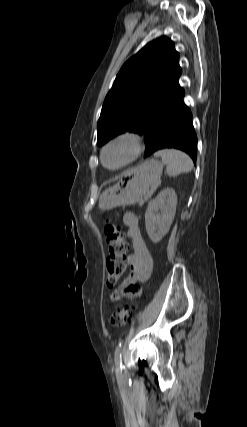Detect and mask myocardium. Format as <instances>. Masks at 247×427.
Instances as JSON below:
<instances>
[{
    "label": "myocardium",
    "instance_id": "obj_1",
    "mask_svg": "<svg viewBox=\"0 0 247 427\" xmlns=\"http://www.w3.org/2000/svg\"><path fill=\"white\" fill-rule=\"evenodd\" d=\"M119 145H124L128 148V154L126 158L117 165H108L105 161V154L109 149ZM141 151L142 139L140 135L135 132L126 131L113 136L103 145L100 151V161L106 169L115 171L122 169L135 161L141 154Z\"/></svg>",
    "mask_w": 247,
    "mask_h": 427
}]
</instances>
